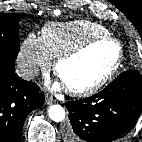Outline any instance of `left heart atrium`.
<instances>
[{
	"label": "left heart atrium",
	"mask_w": 142,
	"mask_h": 142,
	"mask_svg": "<svg viewBox=\"0 0 142 142\" xmlns=\"http://www.w3.org/2000/svg\"><path fill=\"white\" fill-rule=\"evenodd\" d=\"M63 87V82L57 81L54 83L55 89H61Z\"/></svg>",
	"instance_id": "obj_1"
}]
</instances>
